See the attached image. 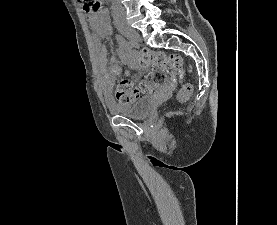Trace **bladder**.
Returning a JSON list of instances; mask_svg holds the SVG:
<instances>
[{
    "instance_id": "obj_1",
    "label": "bladder",
    "mask_w": 277,
    "mask_h": 225,
    "mask_svg": "<svg viewBox=\"0 0 277 225\" xmlns=\"http://www.w3.org/2000/svg\"><path fill=\"white\" fill-rule=\"evenodd\" d=\"M110 112L129 118H142L148 115L153 109V97L146 94L133 102H117L108 104Z\"/></svg>"
}]
</instances>
